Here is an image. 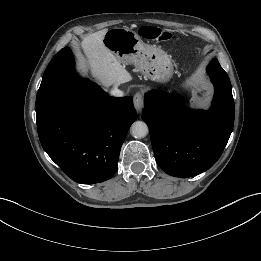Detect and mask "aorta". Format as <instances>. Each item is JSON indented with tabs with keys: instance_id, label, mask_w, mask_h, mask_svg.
<instances>
[{
	"instance_id": "1",
	"label": "aorta",
	"mask_w": 261,
	"mask_h": 261,
	"mask_svg": "<svg viewBox=\"0 0 261 261\" xmlns=\"http://www.w3.org/2000/svg\"><path fill=\"white\" fill-rule=\"evenodd\" d=\"M148 133V126L143 121H135L131 126V135L134 138H144Z\"/></svg>"
}]
</instances>
